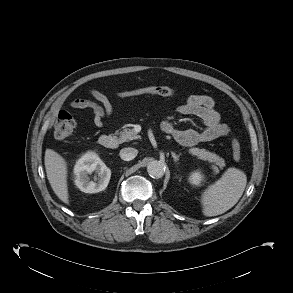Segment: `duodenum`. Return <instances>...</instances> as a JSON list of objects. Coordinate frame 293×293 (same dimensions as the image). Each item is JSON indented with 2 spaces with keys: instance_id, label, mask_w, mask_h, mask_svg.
Instances as JSON below:
<instances>
[{
  "instance_id": "410a0bca",
  "label": "duodenum",
  "mask_w": 293,
  "mask_h": 293,
  "mask_svg": "<svg viewBox=\"0 0 293 293\" xmlns=\"http://www.w3.org/2000/svg\"><path fill=\"white\" fill-rule=\"evenodd\" d=\"M99 143L106 149H114L118 145V139L113 134H104L99 138Z\"/></svg>"
}]
</instances>
